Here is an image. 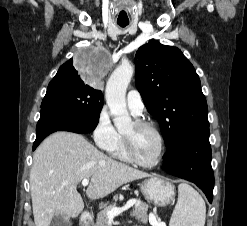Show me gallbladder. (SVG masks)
Returning a JSON list of instances; mask_svg holds the SVG:
<instances>
[{
	"label": "gallbladder",
	"instance_id": "obj_1",
	"mask_svg": "<svg viewBox=\"0 0 247 226\" xmlns=\"http://www.w3.org/2000/svg\"><path fill=\"white\" fill-rule=\"evenodd\" d=\"M49 226H72V222L65 220L61 215H56L51 220Z\"/></svg>",
	"mask_w": 247,
	"mask_h": 226
}]
</instances>
